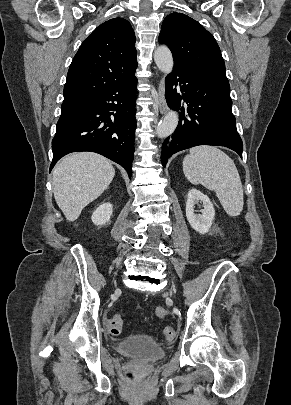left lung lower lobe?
Listing matches in <instances>:
<instances>
[{
	"label": "left lung lower lobe",
	"mask_w": 291,
	"mask_h": 405,
	"mask_svg": "<svg viewBox=\"0 0 291 405\" xmlns=\"http://www.w3.org/2000/svg\"><path fill=\"white\" fill-rule=\"evenodd\" d=\"M166 100L178 110L179 123L162 145L161 162L166 166L173 154L198 145L228 147L242 158L243 144L232 114L230 85L225 74L174 65L165 79ZM180 86L181 94L176 92Z\"/></svg>",
	"instance_id": "1"
}]
</instances>
